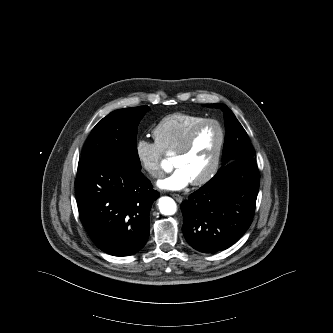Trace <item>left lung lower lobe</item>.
Returning <instances> with one entry per match:
<instances>
[{
	"mask_svg": "<svg viewBox=\"0 0 333 333\" xmlns=\"http://www.w3.org/2000/svg\"><path fill=\"white\" fill-rule=\"evenodd\" d=\"M253 157L226 164L181 204L183 234L196 250L214 253L235 243L249 228L259 188Z\"/></svg>",
	"mask_w": 333,
	"mask_h": 333,
	"instance_id": "0a47b994",
	"label": "left lung lower lobe"
}]
</instances>
